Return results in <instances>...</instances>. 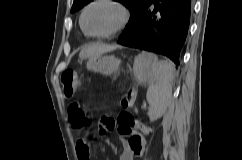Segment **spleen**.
Wrapping results in <instances>:
<instances>
[{"instance_id":"3e777b00","label":"spleen","mask_w":242,"mask_h":160,"mask_svg":"<svg viewBox=\"0 0 242 160\" xmlns=\"http://www.w3.org/2000/svg\"><path fill=\"white\" fill-rule=\"evenodd\" d=\"M152 78L147 91V100L151 110L167 107L172 95L171 83L175 67L169 61H159L157 56L149 53Z\"/></svg>"}]
</instances>
